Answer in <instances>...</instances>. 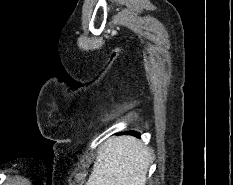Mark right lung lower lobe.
Wrapping results in <instances>:
<instances>
[{
	"label": "right lung lower lobe",
	"instance_id": "obj_1",
	"mask_svg": "<svg viewBox=\"0 0 233 185\" xmlns=\"http://www.w3.org/2000/svg\"><path fill=\"white\" fill-rule=\"evenodd\" d=\"M129 134H133V135H136V136H139V134L138 133H136V132H128Z\"/></svg>",
	"mask_w": 233,
	"mask_h": 185
}]
</instances>
